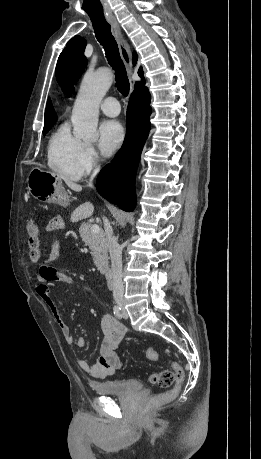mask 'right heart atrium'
<instances>
[{
  "instance_id": "right-heart-atrium-1",
  "label": "right heart atrium",
  "mask_w": 261,
  "mask_h": 459,
  "mask_svg": "<svg viewBox=\"0 0 261 459\" xmlns=\"http://www.w3.org/2000/svg\"><path fill=\"white\" fill-rule=\"evenodd\" d=\"M100 159L93 146L83 144L79 156V170L81 175L89 174L99 167Z\"/></svg>"
}]
</instances>
